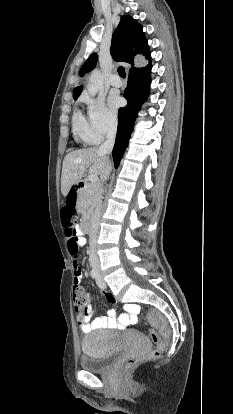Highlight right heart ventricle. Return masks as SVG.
<instances>
[{"mask_svg": "<svg viewBox=\"0 0 233 414\" xmlns=\"http://www.w3.org/2000/svg\"><path fill=\"white\" fill-rule=\"evenodd\" d=\"M73 133L77 140L91 143L89 140V123L84 115L79 111H75L72 120Z\"/></svg>", "mask_w": 233, "mask_h": 414, "instance_id": "obj_1", "label": "right heart ventricle"}]
</instances>
